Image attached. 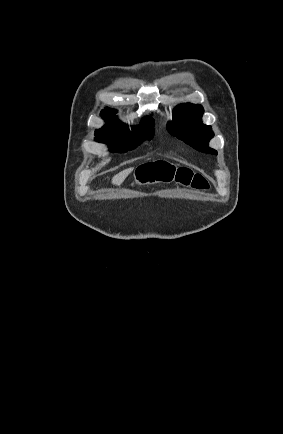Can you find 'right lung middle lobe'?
Masks as SVG:
<instances>
[{"label": "right lung middle lobe", "instance_id": "dd1d6c3e", "mask_svg": "<svg viewBox=\"0 0 283 434\" xmlns=\"http://www.w3.org/2000/svg\"><path fill=\"white\" fill-rule=\"evenodd\" d=\"M154 135V123L144 124L129 129H115L96 131L97 142L108 143L113 152H126L140 145L144 140L152 139Z\"/></svg>", "mask_w": 283, "mask_h": 434}]
</instances>
